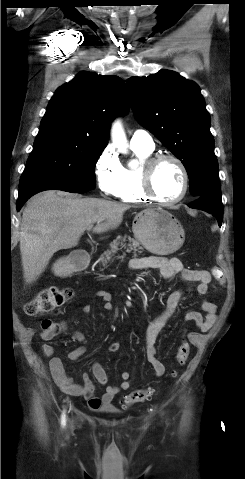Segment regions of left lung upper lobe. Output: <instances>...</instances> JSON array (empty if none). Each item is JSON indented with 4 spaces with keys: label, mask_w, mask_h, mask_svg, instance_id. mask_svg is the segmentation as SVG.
Instances as JSON below:
<instances>
[{
    "label": "left lung upper lobe",
    "mask_w": 245,
    "mask_h": 479,
    "mask_svg": "<svg viewBox=\"0 0 245 479\" xmlns=\"http://www.w3.org/2000/svg\"><path fill=\"white\" fill-rule=\"evenodd\" d=\"M138 122L185 166L190 193L200 197L220 187L210 116L200 88L178 73L161 70L127 80Z\"/></svg>",
    "instance_id": "left-lung-upper-lobe-1"
}]
</instances>
